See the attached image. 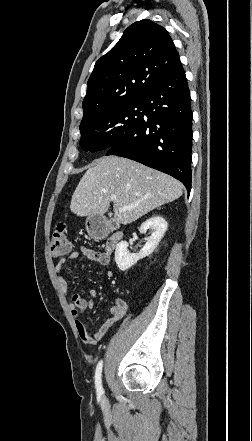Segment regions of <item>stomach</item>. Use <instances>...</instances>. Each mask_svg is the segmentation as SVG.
I'll list each match as a JSON object with an SVG mask.
<instances>
[{"label":"stomach","instance_id":"obj_1","mask_svg":"<svg viewBox=\"0 0 252 441\" xmlns=\"http://www.w3.org/2000/svg\"><path fill=\"white\" fill-rule=\"evenodd\" d=\"M92 227V216H89L86 220V229L90 233Z\"/></svg>","mask_w":252,"mask_h":441}]
</instances>
